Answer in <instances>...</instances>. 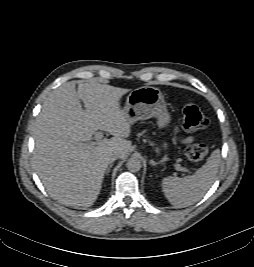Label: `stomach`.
I'll return each instance as SVG.
<instances>
[{"instance_id": "stomach-1", "label": "stomach", "mask_w": 254, "mask_h": 267, "mask_svg": "<svg viewBox=\"0 0 254 267\" xmlns=\"http://www.w3.org/2000/svg\"><path fill=\"white\" fill-rule=\"evenodd\" d=\"M123 111L130 123L151 117L157 118L160 128H165L171 123V115L168 112L164 95L156 87L142 86L132 90L127 97ZM167 147V143L160 145L161 150H166Z\"/></svg>"}]
</instances>
